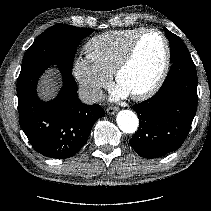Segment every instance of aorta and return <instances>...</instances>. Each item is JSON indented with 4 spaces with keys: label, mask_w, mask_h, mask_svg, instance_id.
<instances>
[{
    "label": "aorta",
    "mask_w": 211,
    "mask_h": 211,
    "mask_svg": "<svg viewBox=\"0 0 211 211\" xmlns=\"http://www.w3.org/2000/svg\"><path fill=\"white\" fill-rule=\"evenodd\" d=\"M117 124L124 133H134L138 129L139 120L131 110H121L117 115Z\"/></svg>",
    "instance_id": "aorta-1"
}]
</instances>
